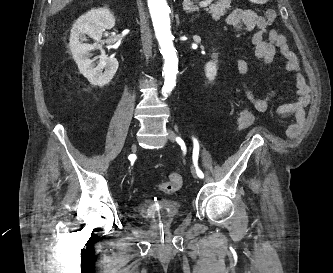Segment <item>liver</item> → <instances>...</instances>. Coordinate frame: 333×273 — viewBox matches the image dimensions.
I'll return each mask as SVG.
<instances>
[{"label":"liver","mask_w":333,"mask_h":273,"mask_svg":"<svg viewBox=\"0 0 333 273\" xmlns=\"http://www.w3.org/2000/svg\"><path fill=\"white\" fill-rule=\"evenodd\" d=\"M72 0H54L52 5V13L62 10Z\"/></svg>","instance_id":"obj_1"}]
</instances>
